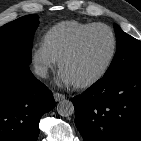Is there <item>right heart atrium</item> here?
<instances>
[{"label":"right heart atrium","instance_id":"obj_1","mask_svg":"<svg viewBox=\"0 0 141 141\" xmlns=\"http://www.w3.org/2000/svg\"><path fill=\"white\" fill-rule=\"evenodd\" d=\"M30 61L34 73L41 79L47 78L49 73L53 71L57 65V60L54 59L41 44L32 48Z\"/></svg>","mask_w":141,"mask_h":141}]
</instances>
